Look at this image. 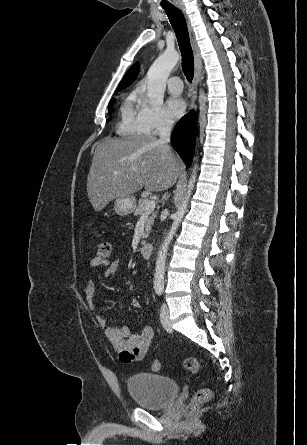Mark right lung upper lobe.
Here are the masks:
<instances>
[{
    "mask_svg": "<svg viewBox=\"0 0 307 445\" xmlns=\"http://www.w3.org/2000/svg\"><path fill=\"white\" fill-rule=\"evenodd\" d=\"M138 69H139V65L136 63L134 64L124 75L123 79L121 80L117 91H120L123 88H126L127 86H129L134 79L136 78L137 74H138Z\"/></svg>",
    "mask_w": 307,
    "mask_h": 445,
    "instance_id": "right-lung-upper-lobe-1",
    "label": "right lung upper lobe"
}]
</instances>
